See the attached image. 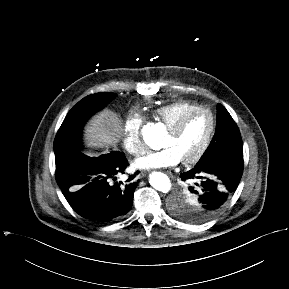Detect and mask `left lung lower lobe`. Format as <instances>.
Listing matches in <instances>:
<instances>
[{
  "mask_svg": "<svg viewBox=\"0 0 289 289\" xmlns=\"http://www.w3.org/2000/svg\"><path fill=\"white\" fill-rule=\"evenodd\" d=\"M243 166V159L229 158L181 173L182 180L195 182L189 189L201 218L210 220L222 211L239 184Z\"/></svg>",
  "mask_w": 289,
  "mask_h": 289,
  "instance_id": "obj_1",
  "label": "left lung lower lobe"
}]
</instances>
